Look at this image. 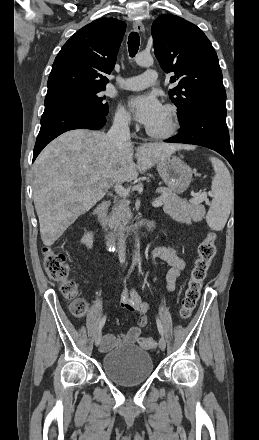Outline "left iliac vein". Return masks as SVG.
Segmentation results:
<instances>
[{
  "instance_id": "obj_1",
  "label": "left iliac vein",
  "mask_w": 259,
  "mask_h": 440,
  "mask_svg": "<svg viewBox=\"0 0 259 440\" xmlns=\"http://www.w3.org/2000/svg\"><path fill=\"white\" fill-rule=\"evenodd\" d=\"M159 348L164 351L166 348V341L164 339V337H160L159 339Z\"/></svg>"
}]
</instances>
